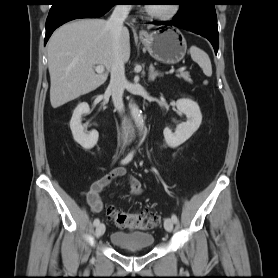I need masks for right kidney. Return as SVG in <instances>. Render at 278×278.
<instances>
[{
  "mask_svg": "<svg viewBox=\"0 0 278 278\" xmlns=\"http://www.w3.org/2000/svg\"><path fill=\"white\" fill-rule=\"evenodd\" d=\"M90 112L89 105L85 102L80 103L74 110L71 121L70 128L74 140L82 146L84 149L93 148L98 141L99 134L97 131L93 130L86 134L84 132V127L81 124V117L83 114Z\"/></svg>",
  "mask_w": 278,
  "mask_h": 278,
  "instance_id": "ca27d5eb",
  "label": "right kidney"
}]
</instances>
